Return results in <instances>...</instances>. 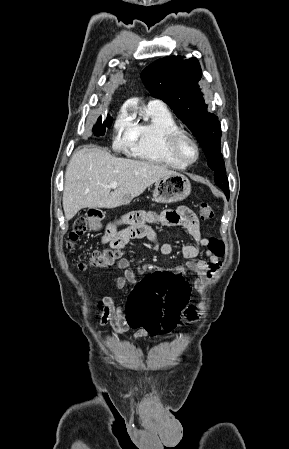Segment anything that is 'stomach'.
<instances>
[{
  "instance_id": "0dacf381",
  "label": "stomach",
  "mask_w": 289,
  "mask_h": 449,
  "mask_svg": "<svg viewBox=\"0 0 289 449\" xmlns=\"http://www.w3.org/2000/svg\"><path fill=\"white\" fill-rule=\"evenodd\" d=\"M191 193V183L183 174H176L163 177L155 183L152 200L157 203H174L187 198ZM101 219L98 217L89 218V228L99 230Z\"/></svg>"
}]
</instances>
